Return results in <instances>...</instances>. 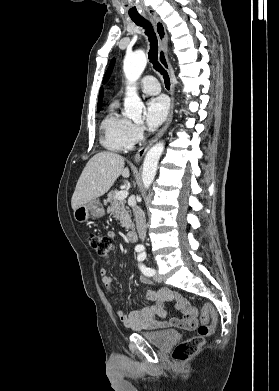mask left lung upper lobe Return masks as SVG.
Listing matches in <instances>:
<instances>
[{
  "label": "left lung upper lobe",
  "instance_id": "1",
  "mask_svg": "<svg viewBox=\"0 0 279 391\" xmlns=\"http://www.w3.org/2000/svg\"><path fill=\"white\" fill-rule=\"evenodd\" d=\"M113 66H114V60L111 61V64H110V66H109V68H108V70H107V72H106V74L104 76V82H106L108 80V78H109V76H110V74H111V72L113 70Z\"/></svg>",
  "mask_w": 279,
  "mask_h": 391
}]
</instances>
